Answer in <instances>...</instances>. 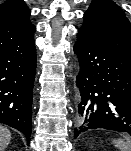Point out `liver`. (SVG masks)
<instances>
[{
    "label": "liver",
    "instance_id": "1",
    "mask_svg": "<svg viewBox=\"0 0 131 151\" xmlns=\"http://www.w3.org/2000/svg\"><path fill=\"white\" fill-rule=\"evenodd\" d=\"M10 140V131L6 127L0 125V151H4L7 148Z\"/></svg>",
    "mask_w": 131,
    "mask_h": 151
}]
</instances>
